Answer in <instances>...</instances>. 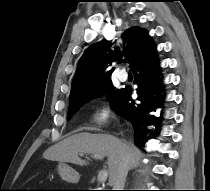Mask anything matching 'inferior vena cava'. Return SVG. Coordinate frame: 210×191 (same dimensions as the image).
I'll return each mask as SVG.
<instances>
[{"mask_svg": "<svg viewBox=\"0 0 210 191\" xmlns=\"http://www.w3.org/2000/svg\"><path fill=\"white\" fill-rule=\"evenodd\" d=\"M128 170H129V158L127 154H124L121 163L119 164V167L113 176L112 180L113 190H123Z\"/></svg>", "mask_w": 210, "mask_h": 191, "instance_id": "602c4592", "label": "inferior vena cava"}]
</instances>
